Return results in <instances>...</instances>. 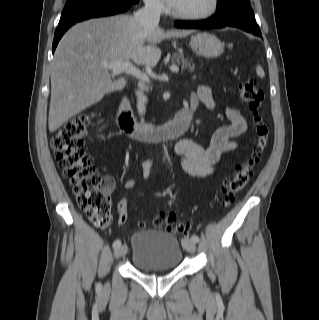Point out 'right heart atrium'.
<instances>
[{
    "label": "right heart atrium",
    "mask_w": 319,
    "mask_h": 320,
    "mask_svg": "<svg viewBox=\"0 0 319 320\" xmlns=\"http://www.w3.org/2000/svg\"><path fill=\"white\" fill-rule=\"evenodd\" d=\"M145 6L148 10L154 13H161L164 11L163 0H144Z\"/></svg>",
    "instance_id": "obj_1"
}]
</instances>
